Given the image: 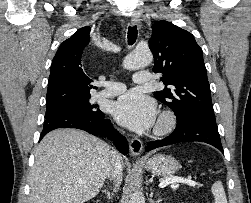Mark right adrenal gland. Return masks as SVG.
I'll use <instances>...</instances> for the list:
<instances>
[{
  "label": "right adrenal gland",
  "instance_id": "2a0ac1e0",
  "mask_svg": "<svg viewBox=\"0 0 251 203\" xmlns=\"http://www.w3.org/2000/svg\"><path fill=\"white\" fill-rule=\"evenodd\" d=\"M102 192L107 196V198L108 199H111L112 198V195H113V193H110L108 190H102ZM113 192H116V185H115V187H114V189H113Z\"/></svg>",
  "mask_w": 251,
  "mask_h": 203
}]
</instances>
